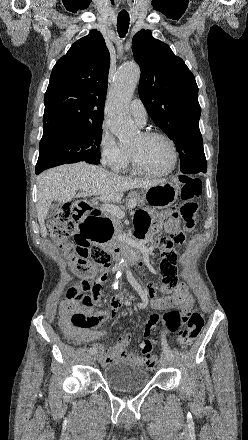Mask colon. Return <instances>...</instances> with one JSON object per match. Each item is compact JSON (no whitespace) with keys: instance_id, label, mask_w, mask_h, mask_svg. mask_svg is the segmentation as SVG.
I'll return each mask as SVG.
<instances>
[{"instance_id":"1","label":"colon","mask_w":248,"mask_h":440,"mask_svg":"<svg viewBox=\"0 0 248 440\" xmlns=\"http://www.w3.org/2000/svg\"><path fill=\"white\" fill-rule=\"evenodd\" d=\"M181 197L183 203L179 208V217L182 223L171 222L168 234L155 238L154 245L159 249L161 257H177L175 245L185 240L184 229H190L197 221V204L194 201L201 193V183L198 179L181 176ZM84 220V211L73 204L63 205L55 217L49 222V232L52 240L62 250L69 260L72 271L80 278L78 282L69 287L66 302L80 309H89L98 300V282L102 271L110 265L107 252L88 241H70L77 225ZM162 321L164 328L169 331H178L177 341L183 347H189L199 335L203 325V317L192 311L170 310L162 316L153 314L145 323L143 332L147 337L153 333L157 324ZM71 322L76 327H87L91 320L83 312H75ZM185 324L183 329H180ZM141 351L145 357L146 365L153 368L157 359L153 354V343L145 339L141 344Z\"/></svg>"}]
</instances>
